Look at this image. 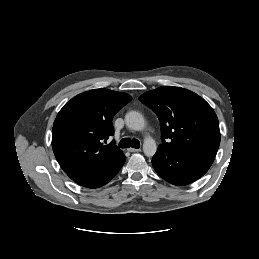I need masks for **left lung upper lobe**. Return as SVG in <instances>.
<instances>
[{"label": "left lung upper lobe", "instance_id": "5c2ea615", "mask_svg": "<svg viewBox=\"0 0 259 259\" xmlns=\"http://www.w3.org/2000/svg\"><path fill=\"white\" fill-rule=\"evenodd\" d=\"M139 100L160 121L162 146L181 155L216 156L220 144L218 118L196 93L173 86L148 91Z\"/></svg>", "mask_w": 259, "mask_h": 259}]
</instances>
